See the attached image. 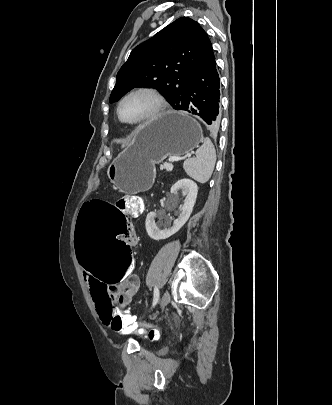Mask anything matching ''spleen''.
<instances>
[{"mask_svg": "<svg viewBox=\"0 0 332 405\" xmlns=\"http://www.w3.org/2000/svg\"><path fill=\"white\" fill-rule=\"evenodd\" d=\"M216 152L212 141L207 137L196 151L195 158L185 160L183 168L186 174L199 183H206L214 170Z\"/></svg>", "mask_w": 332, "mask_h": 405, "instance_id": "1", "label": "spleen"}]
</instances>
